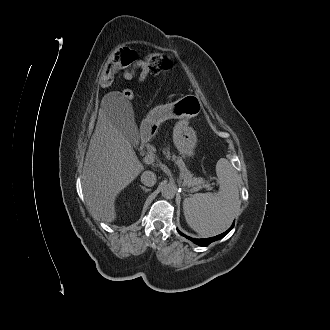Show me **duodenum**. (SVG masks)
<instances>
[{
	"label": "duodenum",
	"instance_id": "410a0bca",
	"mask_svg": "<svg viewBox=\"0 0 330 330\" xmlns=\"http://www.w3.org/2000/svg\"><path fill=\"white\" fill-rule=\"evenodd\" d=\"M145 142V136L144 135H140L137 140H136V145L138 148H141L143 146Z\"/></svg>",
	"mask_w": 330,
	"mask_h": 330
}]
</instances>
